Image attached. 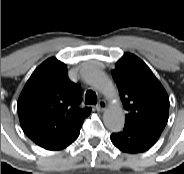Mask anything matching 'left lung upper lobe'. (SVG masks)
<instances>
[{"label": "left lung upper lobe", "mask_w": 184, "mask_h": 174, "mask_svg": "<svg viewBox=\"0 0 184 174\" xmlns=\"http://www.w3.org/2000/svg\"><path fill=\"white\" fill-rule=\"evenodd\" d=\"M124 108L125 127L159 137L168 121L169 97L149 67L126 53L112 71Z\"/></svg>", "instance_id": "left-lung-upper-lobe-1"}]
</instances>
